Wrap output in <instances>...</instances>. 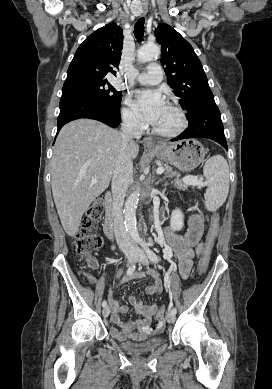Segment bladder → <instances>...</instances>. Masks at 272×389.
<instances>
[{"instance_id": "1", "label": "bladder", "mask_w": 272, "mask_h": 389, "mask_svg": "<svg viewBox=\"0 0 272 389\" xmlns=\"http://www.w3.org/2000/svg\"><path fill=\"white\" fill-rule=\"evenodd\" d=\"M115 338V336L112 334ZM163 343L161 338H149L140 343L126 341V340H118L119 346L129 354L132 355H143L147 353H151L159 348Z\"/></svg>"}]
</instances>
